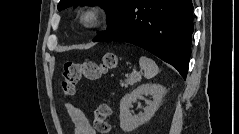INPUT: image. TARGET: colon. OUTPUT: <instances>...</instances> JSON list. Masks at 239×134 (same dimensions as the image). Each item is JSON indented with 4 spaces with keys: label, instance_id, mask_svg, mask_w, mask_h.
<instances>
[{
    "label": "colon",
    "instance_id": "1",
    "mask_svg": "<svg viewBox=\"0 0 239 134\" xmlns=\"http://www.w3.org/2000/svg\"><path fill=\"white\" fill-rule=\"evenodd\" d=\"M117 65V56L107 53L101 62L84 61L81 63L67 62L62 70V91L65 95L71 96L76 92L77 85L82 79L97 81L101 79L109 70ZM112 114V107L109 103L100 104L94 112V127L101 134L111 132V125L108 118Z\"/></svg>",
    "mask_w": 239,
    "mask_h": 134
}]
</instances>
